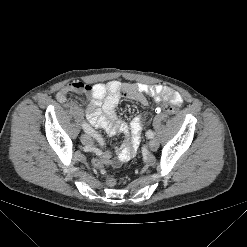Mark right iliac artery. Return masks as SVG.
Segmentation results:
<instances>
[{
    "label": "right iliac artery",
    "mask_w": 247,
    "mask_h": 247,
    "mask_svg": "<svg viewBox=\"0 0 247 247\" xmlns=\"http://www.w3.org/2000/svg\"><path fill=\"white\" fill-rule=\"evenodd\" d=\"M82 127L86 133L90 134L91 136L96 138L101 144H103L102 143L103 141L100 135L95 130H93L89 124H87L86 122H83Z\"/></svg>",
    "instance_id": "right-iliac-artery-1"
}]
</instances>
